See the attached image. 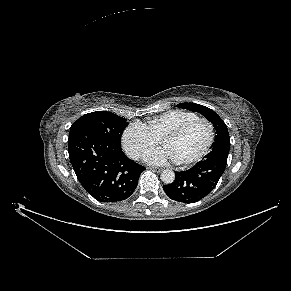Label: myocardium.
I'll return each mask as SVG.
<instances>
[{"label":"myocardium","instance_id":"obj_1","mask_svg":"<svg viewBox=\"0 0 291 291\" xmlns=\"http://www.w3.org/2000/svg\"><path fill=\"white\" fill-rule=\"evenodd\" d=\"M199 123H203L208 127L209 135H208V140H207L205 146L195 157H193L189 160H186V161H176L177 164L182 165V166H191V165L198 163L206 156V154L209 152V150L212 147L214 140H215V128H214L213 123L206 118L198 117L196 119H193L191 121L184 123L183 125L179 126L176 129L168 132L161 139L162 143H164L168 139L178 138V137L182 136L184 133H186L193 126H195L196 124H199Z\"/></svg>","mask_w":291,"mask_h":291}]
</instances>
